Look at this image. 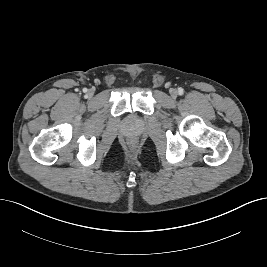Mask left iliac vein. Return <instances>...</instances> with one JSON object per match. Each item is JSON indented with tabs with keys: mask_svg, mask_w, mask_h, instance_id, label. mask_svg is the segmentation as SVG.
Here are the masks:
<instances>
[{
	"mask_svg": "<svg viewBox=\"0 0 267 267\" xmlns=\"http://www.w3.org/2000/svg\"><path fill=\"white\" fill-rule=\"evenodd\" d=\"M170 94H171V96H172L173 98H176L177 95H178V92H177L176 89H171Z\"/></svg>",
	"mask_w": 267,
	"mask_h": 267,
	"instance_id": "4c4485c4",
	"label": "left iliac vein"
}]
</instances>
